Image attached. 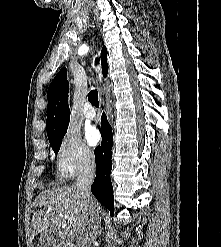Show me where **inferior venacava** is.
Returning a JSON list of instances; mask_svg holds the SVG:
<instances>
[{"instance_id": "inferior-vena-cava-1", "label": "inferior vena cava", "mask_w": 221, "mask_h": 247, "mask_svg": "<svg viewBox=\"0 0 221 247\" xmlns=\"http://www.w3.org/2000/svg\"><path fill=\"white\" fill-rule=\"evenodd\" d=\"M94 177L95 163L90 161L81 169L76 180V188L89 217L84 234L79 240V247H92L98 233L99 212L90 190Z\"/></svg>"}]
</instances>
